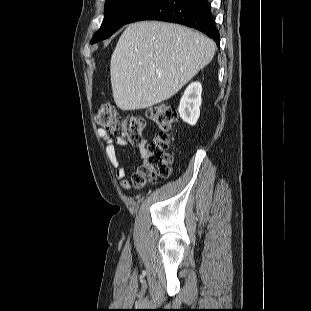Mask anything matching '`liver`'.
<instances>
[{"mask_svg":"<svg viewBox=\"0 0 311 311\" xmlns=\"http://www.w3.org/2000/svg\"><path fill=\"white\" fill-rule=\"evenodd\" d=\"M215 43L185 26L158 21L130 24L111 56L114 101L121 110L168 100L215 54Z\"/></svg>","mask_w":311,"mask_h":311,"instance_id":"obj_1","label":"liver"}]
</instances>
